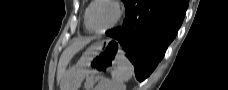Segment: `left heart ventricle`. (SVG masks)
<instances>
[{"label":"left heart ventricle","instance_id":"b2bd125f","mask_svg":"<svg viewBox=\"0 0 228 90\" xmlns=\"http://www.w3.org/2000/svg\"><path fill=\"white\" fill-rule=\"evenodd\" d=\"M115 17V9L112 5L100 2L93 6L90 12V24L96 30L107 27Z\"/></svg>","mask_w":228,"mask_h":90}]
</instances>
